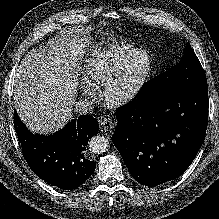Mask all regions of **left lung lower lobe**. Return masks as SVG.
Segmentation results:
<instances>
[{
	"instance_id": "1",
	"label": "left lung lower lobe",
	"mask_w": 219,
	"mask_h": 219,
	"mask_svg": "<svg viewBox=\"0 0 219 219\" xmlns=\"http://www.w3.org/2000/svg\"><path fill=\"white\" fill-rule=\"evenodd\" d=\"M113 143L136 181L156 186L193 162L206 134L208 88L177 90L155 101L134 100L116 110Z\"/></svg>"
}]
</instances>
